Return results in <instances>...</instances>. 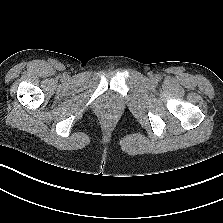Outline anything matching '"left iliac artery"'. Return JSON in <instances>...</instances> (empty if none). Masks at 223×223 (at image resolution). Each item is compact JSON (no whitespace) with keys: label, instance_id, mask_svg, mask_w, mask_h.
<instances>
[{"label":"left iliac artery","instance_id":"obj_1","mask_svg":"<svg viewBox=\"0 0 223 223\" xmlns=\"http://www.w3.org/2000/svg\"><path fill=\"white\" fill-rule=\"evenodd\" d=\"M157 79H160V76H157Z\"/></svg>","mask_w":223,"mask_h":223}]
</instances>
